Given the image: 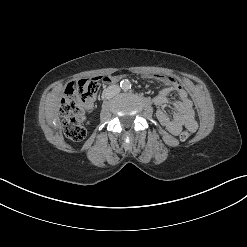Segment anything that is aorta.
Listing matches in <instances>:
<instances>
[{
	"label": "aorta",
	"mask_w": 247,
	"mask_h": 247,
	"mask_svg": "<svg viewBox=\"0 0 247 247\" xmlns=\"http://www.w3.org/2000/svg\"><path fill=\"white\" fill-rule=\"evenodd\" d=\"M120 87L122 90L127 91L131 88V82L128 79L121 81Z\"/></svg>",
	"instance_id": "obj_1"
}]
</instances>
